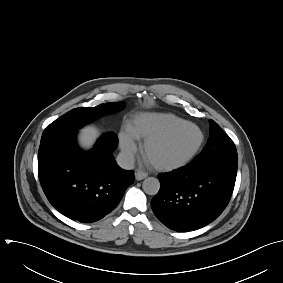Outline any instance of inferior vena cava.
Segmentation results:
<instances>
[{
	"instance_id": "602c4592",
	"label": "inferior vena cava",
	"mask_w": 283,
	"mask_h": 283,
	"mask_svg": "<svg viewBox=\"0 0 283 283\" xmlns=\"http://www.w3.org/2000/svg\"><path fill=\"white\" fill-rule=\"evenodd\" d=\"M117 164L123 169L134 168V155L129 152H120L116 158Z\"/></svg>"
}]
</instances>
